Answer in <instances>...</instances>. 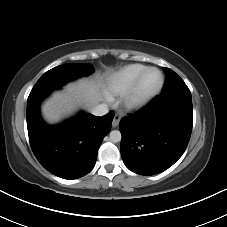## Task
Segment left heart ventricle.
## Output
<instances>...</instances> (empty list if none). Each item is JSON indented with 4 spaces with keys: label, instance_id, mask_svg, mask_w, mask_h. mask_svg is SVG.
Wrapping results in <instances>:
<instances>
[{
    "label": "left heart ventricle",
    "instance_id": "1",
    "mask_svg": "<svg viewBox=\"0 0 227 227\" xmlns=\"http://www.w3.org/2000/svg\"><path fill=\"white\" fill-rule=\"evenodd\" d=\"M160 82V74L155 71H149L143 78L141 86H140V93L146 94L154 90Z\"/></svg>",
    "mask_w": 227,
    "mask_h": 227
}]
</instances>
